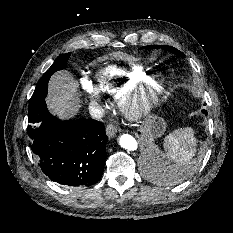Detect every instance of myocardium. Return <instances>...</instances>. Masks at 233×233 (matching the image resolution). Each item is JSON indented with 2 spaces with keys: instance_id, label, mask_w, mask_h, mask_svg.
Returning <instances> with one entry per match:
<instances>
[{
  "instance_id": "f54148a6",
  "label": "myocardium",
  "mask_w": 233,
  "mask_h": 233,
  "mask_svg": "<svg viewBox=\"0 0 233 233\" xmlns=\"http://www.w3.org/2000/svg\"><path fill=\"white\" fill-rule=\"evenodd\" d=\"M164 91L161 78H153L143 85L127 90L121 98V108L130 120L149 114Z\"/></svg>"
}]
</instances>
